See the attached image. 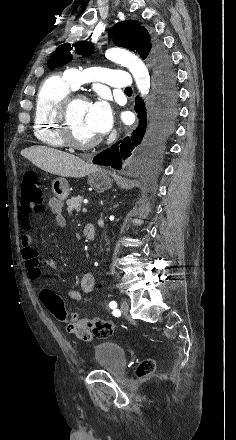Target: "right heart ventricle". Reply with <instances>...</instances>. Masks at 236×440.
<instances>
[{"label":"right heart ventricle","instance_id":"e07e8e85","mask_svg":"<svg viewBox=\"0 0 236 440\" xmlns=\"http://www.w3.org/2000/svg\"><path fill=\"white\" fill-rule=\"evenodd\" d=\"M72 90L73 86L63 75H52L42 83L34 108V135L41 143L58 149L66 146L58 133L55 109Z\"/></svg>","mask_w":236,"mask_h":440}]
</instances>
